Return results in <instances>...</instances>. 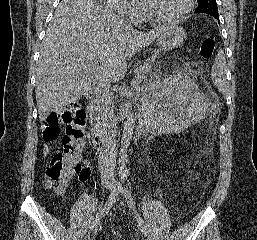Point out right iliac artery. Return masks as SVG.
<instances>
[{"label": "right iliac artery", "mask_w": 257, "mask_h": 240, "mask_svg": "<svg viewBox=\"0 0 257 240\" xmlns=\"http://www.w3.org/2000/svg\"><path fill=\"white\" fill-rule=\"evenodd\" d=\"M118 190L115 187L113 189V191L111 192L108 200L106 201L105 205L102 207V209L96 214V216L94 217L92 223L89 226V230L87 232V236L90 235V233L93 231V229L97 226V224L100 222V220L109 212V210L111 209V207L113 206V204L116 201V198L118 196Z\"/></svg>", "instance_id": "1"}]
</instances>
